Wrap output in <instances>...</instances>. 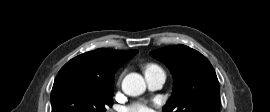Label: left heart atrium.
I'll use <instances>...</instances> for the list:
<instances>
[{
  "label": "left heart atrium",
  "instance_id": "left-heart-atrium-1",
  "mask_svg": "<svg viewBox=\"0 0 270 112\" xmlns=\"http://www.w3.org/2000/svg\"><path fill=\"white\" fill-rule=\"evenodd\" d=\"M126 112H151V109L146 104L136 103L127 107Z\"/></svg>",
  "mask_w": 270,
  "mask_h": 112
}]
</instances>
